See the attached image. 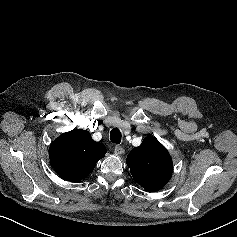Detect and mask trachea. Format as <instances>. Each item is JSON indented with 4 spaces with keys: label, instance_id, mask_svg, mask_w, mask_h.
<instances>
[{
    "label": "trachea",
    "instance_id": "1",
    "mask_svg": "<svg viewBox=\"0 0 237 237\" xmlns=\"http://www.w3.org/2000/svg\"><path fill=\"white\" fill-rule=\"evenodd\" d=\"M121 138H122V135H121V132L119 129L117 128H113L110 132V139L113 143H116V144H120L121 142Z\"/></svg>",
    "mask_w": 237,
    "mask_h": 237
}]
</instances>
